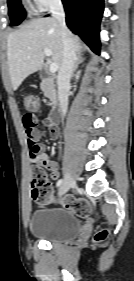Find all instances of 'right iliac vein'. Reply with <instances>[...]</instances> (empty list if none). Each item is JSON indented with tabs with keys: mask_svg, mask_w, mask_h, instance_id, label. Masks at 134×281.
Returning <instances> with one entry per match:
<instances>
[{
	"mask_svg": "<svg viewBox=\"0 0 134 281\" xmlns=\"http://www.w3.org/2000/svg\"><path fill=\"white\" fill-rule=\"evenodd\" d=\"M74 185H75V180L72 176V173L68 170L66 173V177L59 189L58 195L61 196L65 194Z\"/></svg>",
	"mask_w": 134,
	"mask_h": 281,
	"instance_id": "1",
	"label": "right iliac vein"
}]
</instances>
